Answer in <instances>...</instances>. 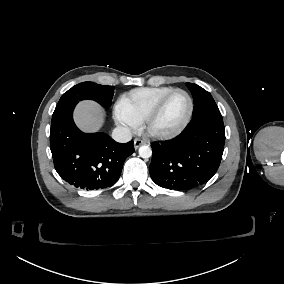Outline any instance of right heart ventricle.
Instances as JSON below:
<instances>
[{
	"label": "right heart ventricle",
	"mask_w": 284,
	"mask_h": 284,
	"mask_svg": "<svg viewBox=\"0 0 284 284\" xmlns=\"http://www.w3.org/2000/svg\"><path fill=\"white\" fill-rule=\"evenodd\" d=\"M174 88L173 86H155L131 89L119 96L116 111L131 123H140L149 109Z\"/></svg>",
	"instance_id": "obj_1"
}]
</instances>
